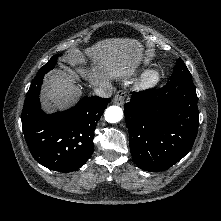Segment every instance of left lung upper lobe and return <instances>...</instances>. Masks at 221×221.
<instances>
[{"label":"left lung upper lobe","instance_id":"obj_1","mask_svg":"<svg viewBox=\"0 0 221 221\" xmlns=\"http://www.w3.org/2000/svg\"><path fill=\"white\" fill-rule=\"evenodd\" d=\"M177 77H192L186 65L180 58L177 60V63L173 69V74L170 80L177 78Z\"/></svg>","mask_w":221,"mask_h":221}]
</instances>
